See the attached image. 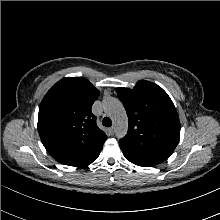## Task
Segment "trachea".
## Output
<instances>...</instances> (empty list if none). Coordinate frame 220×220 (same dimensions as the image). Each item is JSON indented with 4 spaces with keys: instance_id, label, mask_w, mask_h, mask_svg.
Masks as SVG:
<instances>
[{
    "instance_id": "obj_1",
    "label": "trachea",
    "mask_w": 220,
    "mask_h": 220,
    "mask_svg": "<svg viewBox=\"0 0 220 220\" xmlns=\"http://www.w3.org/2000/svg\"><path fill=\"white\" fill-rule=\"evenodd\" d=\"M102 124L105 126V127H111L112 126V121L109 117H104L103 121H102Z\"/></svg>"
}]
</instances>
